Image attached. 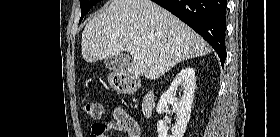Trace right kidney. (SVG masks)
I'll list each match as a JSON object with an SVG mask.
<instances>
[{"label": "right kidney", "instance_id": "ca27d5eb", "mask_svg": "<svg viewBox=\"0 0 280 137\" xmlns=\"http://www.w3.org/2000/svg\"><path fill=\"white\" fill-rule=\"evenodd\" d=\"M196 78L192 67L182 69L171 81L169 88L165 91L158 102L157 112L162 114L167 103H171L173 111L177 114V121L171 128L172 135H168V129L164 120L157 123L159 137H183L187 123L190 119L192 103L194 99ZM181 86L184 91L180 100L175 98L177 88Z\"/></svg>", "mask_w": 280, "mask_h": 137}]
</instances>
